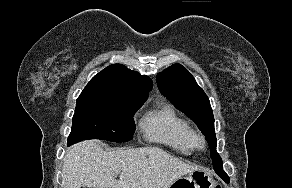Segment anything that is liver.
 <instances>
[{
  "label": "liver",
  "mask_w": 292,
  "mask_h": 188,
  "mask_svg": "<svg viewBox=\"0 0 292 188\" xmlns=\"http://www.w3.org/2000/svg\"><path fill=\"white\" fill-rule=\"evenodd\" d=\"M197 169L158 147L104 151L95 140L72 146L63 159L65 188H168Z\"/></svg>",
  "instance_id": "1"
}]
</instances>
